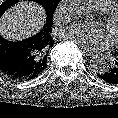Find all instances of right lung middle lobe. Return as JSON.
I'll list each match as a JSON object with an SVG mask.
<instances>
[{"mask_svg": "<svg viewBox=\"0 0 118 118\" xmlns=\"http://www.w3.org/2000/svg\"><path fill=\"white\" fill-rule=\"evenodd\" d=\"M28 1H34L43 6V8L46 11L47 20H52L53 13L60 2V0H28ZM19 2V0H6L4 3L0 5V17L2 14L11 6ZM46 20V21H47Z\"/></svg>", "mask_w": 118, "mask_h": 118, "instance_id": "dd1d6c3e", "label": "right lung middle lobe"}]
</instances>
